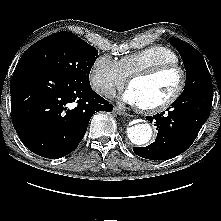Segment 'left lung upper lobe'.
Instances as JSON below:
<instances>
[{
	"label": "left lung upper lobe",
	"mask_w": 221,
	"mask_h": 221,
	"mask_svg": "<svg viewBox=\"0 0 221 221\" xmlns=\"http://www.w3.org/2000/svg\"><path fill=\"white\" fill-rule=\"evenodd\" d=\"M170 42L180 53L186 69L187 79L181 96L212 85L210 73L201 54L183 40L171 37Z\"/></svg>",
	"instance_id": "obj_1"
}]
</instances>
